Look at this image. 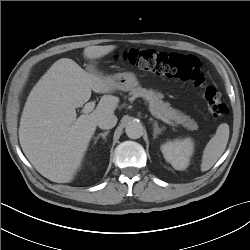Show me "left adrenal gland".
<instances>
[{"label": "left adrenal gland", "instance_id": "1", "mask_svg": "<svg viewBox=\"0 0 250 250\" xmlns=\"http://www.w3.org/2000/svg\"><path fill=\"white\" fill-rule=\"evenodd\" d=\"M164 130V127L159 128L158 123L153 121V138L156 139L157 136Z\"/></svg>", "mask_w": 250, "mask_h": 250}]
</instances>
